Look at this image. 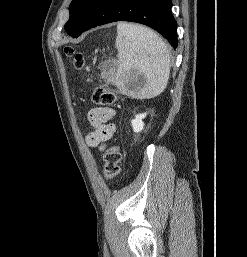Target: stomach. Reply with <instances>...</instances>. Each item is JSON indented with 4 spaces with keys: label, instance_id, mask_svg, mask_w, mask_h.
I'll return each mask as SVG.
<instances>
[{
    "label": "stomach",
    "instance_id": "stomach-1",
    "mask_svg": "<svg viewBox=\"0 0 247 257\" xmlns=\"http://www.w3.org/2000/svg\"><path fill=\"white\" fill-rule=\"evenodd\" d=\"M128 84H129V82L127 81V83H126V87H128Z\"/></svg>",
    "mask_w": 247,
    "mask_h": 257
}]
</instances>
